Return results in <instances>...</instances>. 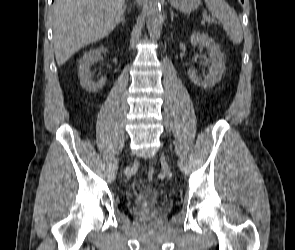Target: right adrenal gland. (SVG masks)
<instances>
[{"instance_id": "2a0ac1e0", "label": "right adrenal gland", "mask_w": 295, "mask_h": 250, "mask_svg": "<svg viewBox=\"0 0 295 250\" xmlns=\"http://www.w3.org/2000/svg\"><path fill=\"white\" fill-rule=\"evenodd\" d=\"M125 9H126V7H125ZM119 23H122L123 25L125 24V15H124V13L122 14V16H121V18H120V20L118 21L117 24H119Z\"/></svg>"}]
</instances>
